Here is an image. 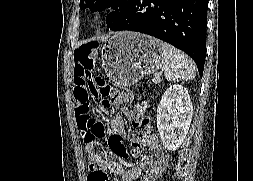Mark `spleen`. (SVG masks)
<instances>
[{
  "instance_id": "1",
  "label": "spleen",
  "mask_w": 253,
  "mask_h": 181,
  "mask_svg": "<svg viewBox=\"0 0 253 181\" xmlns=\"http://www.w3.org/2000/svg\"><path fill=\"white\" fill-rule=\"evenodd\" d=\"M161 69L168 81L192 80L196 76L195 63L183 52L162 42Z\"/></svg>"
}]
</instances>
